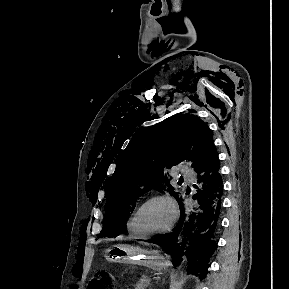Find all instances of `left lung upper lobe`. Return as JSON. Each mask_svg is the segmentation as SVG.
Listing matches in <instances>:
<instances>
[{"mask_svg":"<svg viewBox=\"0 0 289 289\" xmlns=\"http://www.w3.org/2000/svg\"><path fill=\"white\" fill-rule=\"evenodd\" d=\"M215 148L208 125L192 114L179 113L134 135L108 180L105 219L99 237L120 235L137 199L153 188L167 190L178 199L179 194L170 185L168 169L190 160L196 171Z\"/></svg>","mask_w":289,"mask_h":289,"instance_id":"1","label":"left lung upper lobe"}]
</instances>
